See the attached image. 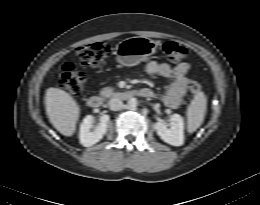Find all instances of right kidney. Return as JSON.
I'll list each match as a JSON object with an SVG mask.
<instances>
[{"label":"right kidney","instance_id":"1","mask_svg":"<svg viewBox=\"0 0 260 205\" xmlns=\"http://www.w3.org/2000/svg\"><path fill=\"white\" fill-rule=\"evenodd\" d=\"M93 117L91 115L86 116L80 126L79 139L80 143L85 147H90L99 142L107 131V125L109 122V116L103 115L100 117L99 125L91 130L93 126Z\"/></svg>","mask_w":260,"mask_h":205}]
</instances>
